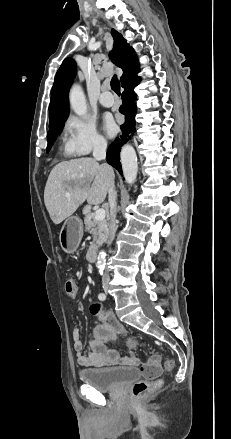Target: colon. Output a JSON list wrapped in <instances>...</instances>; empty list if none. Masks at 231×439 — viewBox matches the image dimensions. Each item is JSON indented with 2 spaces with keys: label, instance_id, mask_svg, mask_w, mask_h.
Wrapping results in <instances>:
<instances>
[{
  "label": "colon",
  "instance_id": "1",
  "mask_svg": "<svg viewBox=\"0 0 231 439\" xmlns=\"http://www.w3.org/2000/svg\"><path fill=\"white\" fill-rule=\"evenodd\" d=\"M66 294L74 298L77 296L78 288L77 283L73 279H67L65 282ZM92 314L103 318L105 313L101 311L99 304H93L91 306ZM130 346H136L137 340L134 337L128 339ZM174 368V360L168 359L165 361L162 367L160 358L156 355H152L148 360L142 365L141 372L143 379L135 382L131 388V395L134 399H140L145 396L150 391L154 390L160 385L159 377L161 375L162 369L166 371H171Z\"/></svg>",
  "mask_w": 231,
  "mask_h": 439
}]
</instances>
